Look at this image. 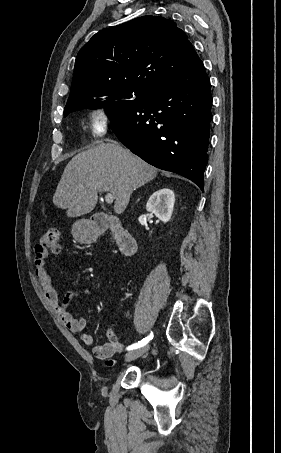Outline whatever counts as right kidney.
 <instances>
[{
	"label": "right kidney",
	"instance_id": "1",
	"mask_svg": "<svg viewBox=\"0 0 281 453\" xmlns=\"http://www.w3.org/2000/svg\"><path fill=\"white\" fill-rule=\"evenodd\" d=\"M175 194L170 188H160L151 194L147 200L146 208L148 212L156 214L163 222H168L172 216Z\"/></svg>",
	"mask_w": 281,
	"mask_h": 453
}]
</instances>
